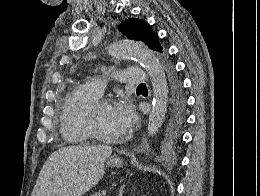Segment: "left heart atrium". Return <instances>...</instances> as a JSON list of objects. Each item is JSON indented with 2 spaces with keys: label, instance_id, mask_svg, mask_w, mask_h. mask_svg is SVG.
I'll list each match as a JSON object with an SVG mask.
<instances>
[{
  "label": "left heart atrium",
  "instance_id": "1",
  "mask_svg": "<svg viewBox=\"0 0 260 196\" xmlns=\"http://www.w3.org/2000/svg\"><path fill=\"white\" fill-rule=\"evenodd\" d=\"M113 111L121 131H127L136 121L135 108L126 99L114 104Z\"/></svg>",
  "mask_w": 260,
  "mask_h": 196
}]
</instances>
